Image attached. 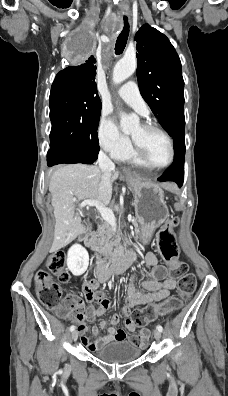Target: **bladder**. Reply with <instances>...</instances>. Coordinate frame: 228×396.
<instances>
[{"mask_svg":"<svg viewBox=\"0 0 228 396\" xmlns=\"http://www.w3.org/2000/svg\"><path fill=\"white\" fill-rule=\"evenodd\" d=\"M141 346L130 341L118 340L97 347L91 354L109 364H126L142 356Z\"/></svg>","mask_w":228,"mask_h":396,"instance_id":"obj_1","label":"bladder"}]
</instances>
